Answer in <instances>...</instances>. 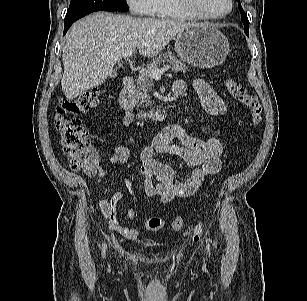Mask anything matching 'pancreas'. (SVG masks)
Listing matches in <instances>:
<instances>
[{
    "instance_id": "pancreas-1",
    "label": "pancreas",
    "mask_w": 307,
    "mask_h": 301,
    "mask_svg": "<svg viewBox=\"0 0 307 301\" xmlns=\"http://www.w3.org/2000/svg\"><path fill=\"white\" fill-rule=\"evenodd\" d=\"M171 63L173 65L172 71L174 72H185L188 68L177 59L174 54L170 51L159 55L146 65V68L142 70L136 77V85L133 89L134 99L136 104L142 107L151 106L152 102L149 92L153 89V78L150 75L152 69L158 68L160 65Z\"/></svg>"
}]
</instances>
